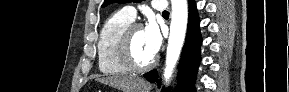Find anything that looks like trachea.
Returning <instances> with one entry per match:
<instances>
[{"label":"trachea","mask_w":289,"mask_h":92,"mask_svg":"<svg viewBox=\"0 0 289 92\" xmlns=\"http://www.w3.org/2000/svg\"><path fill=\"white\" fill-rule=\"evenodd\" d=\"M163 15H169V12L168 11H164Z\"/></svg>","instance_id":"obj_1"}]
</instances>
